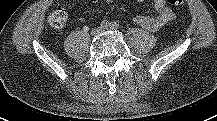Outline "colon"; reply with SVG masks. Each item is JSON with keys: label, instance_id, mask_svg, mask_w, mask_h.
<instances>
[{"label": "colon", "instance_id": "5ec220e1", "mask_svg": "<svg viewBox=\"0 0 217 121\" xmlns=\"http://www.w3.org/2000/svg\"><path fill=\"white\" fill-rule=\"evenodd\" d=\"M172 6H181L184 0H167ZM48 22L55 30H63L67 23V12L63 8L53 10L48 16Z\"/></svg>", "mask_w": 217, "mask_h": 121}]
</instances>
